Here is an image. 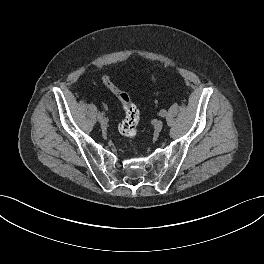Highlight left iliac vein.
Instances as JSON below:
<instances>
[{"mask_svg": "<svg viewBox=\"0 0 264 264\" xmlns=\"http://www.w3.org/2000/svg\"><path fill=\"white\" fill-rule=\"evenodd\" d=\"M163 128V121L162 120H158L155 122L154 124V129H155V132H160Z\"/></svg>", "mask_w": 264, "mask_h": 264, "instance_id": "left-iliac-vein-1", "label": "left iliac vein"}]
</instances>
